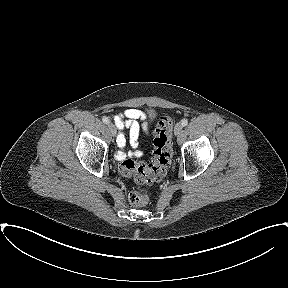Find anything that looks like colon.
I'll return each instance as SVG.
<instances>
[{
  "mask_svg": "<svg viewBox=\"0 0 288 288\" xmlns=\"http://www.w3.org/2000/svg\"><path fill=\"white\" fill-rule=\"evenodd\" d=\"M173 120L169 116L160 118L154 138V154L150 163L137 162L130 157L122 159L119 170L127 177L133 178L138 184L145 185L158 182L164 178L172 157L171 131ZM148 201V194L144 190L132 191L129 194V202L135 206H141Z\"/></svg>",
  "mask_w": 288,
  "mask_h": 288,
  "instance_id": "obj_1",
  "label": "colon"
}]
</instances>
